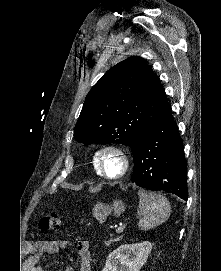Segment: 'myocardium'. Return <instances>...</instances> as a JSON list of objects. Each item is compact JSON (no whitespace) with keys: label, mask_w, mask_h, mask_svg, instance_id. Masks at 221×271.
I'll return each mask as SVG.
<instances>
[{"label":"myocardium","mask_w":221,"mask_h":271,"mask_svg":"<svg viewBox=\"0 0 221 271\" xmlns=\"http://www.w3.org/2000/svg\"><path fill=\"white\" fill-rule=\"evenodd\" d=\"M113 145H102V150H97L102 156H95L97 158L96 169H100L98 175H104V178H122L129 170H127L126 158L124 155L125 150L112 149ZM116 146V145H114ZM112 164V165H109ZM109 165V166H108ZM118 170L115 173H107L102 170Z\"/></svg>","instance_id":"obj_1"}]
</instances>
